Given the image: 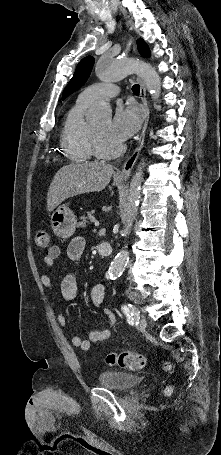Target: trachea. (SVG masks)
I'll return each instance as SVG.
<instances>
[{"label": "trachea", "instance_id": "3493384b", "mask_svg": "<svg viewBox=\"0 0 221 455\" xmlns=\"http://www.w3.org/2000/svg\"><path fill=\"white\" fill-rule=\"evenodd\" d=\"M132 91L135 95H139L140 93V86L138 84L133 85Z\"/></svg>", "mask_w": 221, "mask_h": 455}]
</instances>
